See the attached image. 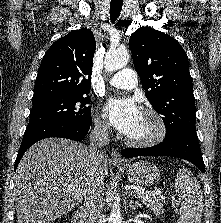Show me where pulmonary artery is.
<instances>
[{
  "label": "pulmonary artery",
  "instance_id": "pulmonary-artery-1",
  "mask_svg": "<svg viewBox=\"0 0 221 223\" xmlns=\"http://www.w3.org/2000/svg\"><path fill=\"white\" fill-rule=\"evenodd\" d=\"M108 85L120 89H132L138 85L137 74L132 69H122L108 79Z\"/></svg>",
  "mask_w": 221,
  "mask_h": 223
}]
</instances>
